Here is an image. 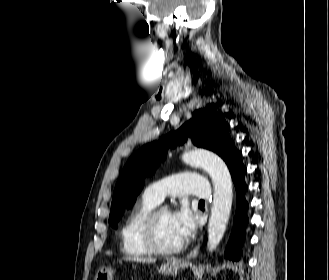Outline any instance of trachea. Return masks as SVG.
<instances>
[{"label": "trachea", "mask_w": 329, "mask_h": 280, "mask_svg": "<svg viewBox=\"0 0 329 280\" xmlns=\"http://www.w3.org/2000/svg\"><path fill=\"white\" fill-rule=\"evenodd\" d=\"M200 203H204V201L203 200H200Z\"/></svg>", "instance_id": "trachea-1"}]
</instances>
